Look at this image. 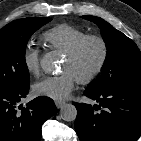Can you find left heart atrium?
<instances>
[{"label": "left heart atrium", "mask_w": 141, "mask_h": 141, "mask_svg": "<svg viewBox=\"0 0 141 141\" xmlns=\"http://www.w3.org/2000/svg\"><path fill=\"white\" fill-rule=\"evenodd\" d=\"M77 79L70 72L58 76H46L34 83L33 91L39 96L54 100L66 99L74 89Z\"/></svg>", "instance_id": "1"}]
</instances>
